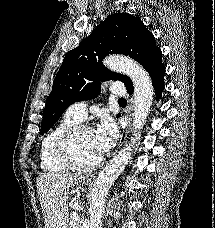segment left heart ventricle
I'll use <instances>...</instances> for the list:
<instances>
[{"mask_svg":"<svg viewBox=\"0 0 215 228\" xmlns=\"http://www.w3.org/2000/svg\"><path fill=\"white\" fill-rule=\"evenodd\" d=\"M70 151L80 164H91L102 156L95 144L93 129H83L72 142Z\"/></svg>","mask_w":215,"mask_h":228,"instance_id":"obj_1","label":"left heart ventricle"}]
</instances>
